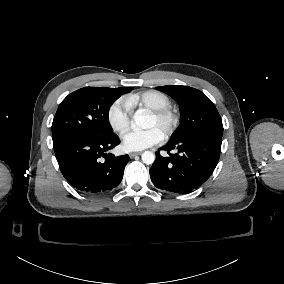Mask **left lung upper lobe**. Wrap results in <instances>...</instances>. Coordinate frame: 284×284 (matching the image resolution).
<instances>
[{
	"mask_svg": "<svg viewBox=\"0 0 284 284\" xmlns=\"http://www.w3.org/2000/svg\"><path fill=\"white\" fill-rule=\"evenodd\" d=\"M157 89L172 96L180 105V126L171 139L204 133L222 137L221 117L204 93L188 86H161Z\"/></svg>",
	"mask_w": 284,
	"mask_h": 284,
	"instance_id": "5c2ea615",
	"label": "left lung upper lobe"
}]
</instances>
